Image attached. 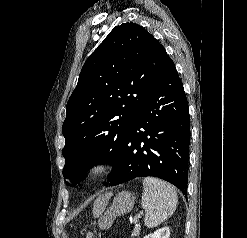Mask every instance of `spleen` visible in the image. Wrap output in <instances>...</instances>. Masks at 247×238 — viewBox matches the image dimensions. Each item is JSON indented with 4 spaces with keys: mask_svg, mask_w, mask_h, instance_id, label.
Returning a JSON list of instances; mask_svg holds the SVG:
<instances>
[{
    "mask_svg": "<svg viewBox=\"0 0 247 238\" xmlns=\"http://www.w3.org/2000/svg\"><path fill=\"white\" fill-rule=\"evenodd\" d=\"M141 205L145 210L144 223L148 228H154L175 211L178 203L175 188L169 183L154 177L143 180Z\"/></svg>",
    "mask_w": 247,
    "mask_h": 238,
    "instance_id": "obj_1",
    "label": "spleen"
}]
</instances>
